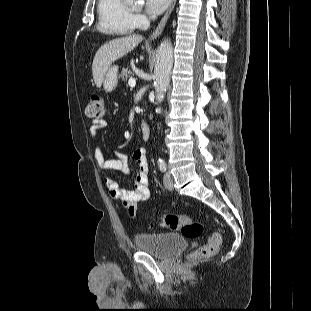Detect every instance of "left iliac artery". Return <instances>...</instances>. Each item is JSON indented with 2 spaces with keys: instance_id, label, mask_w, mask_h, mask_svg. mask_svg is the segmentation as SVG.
I'll return each mask as SVG.
<instances>
[{
  "instance_id": "obj_1",
  "label": "left iliac artery",
  "mask_w": 311,
  "mask_h": 311,
  "mask_svg": "<svg viewBox=\"0 0 311 311\" xmlns=\"http://www.w3.org/2000/svg\"><path fill=\"white\" fill-rule=\"evenodd\" d=\"M158 166L162 172L166 171V163L163 159L161 158L158 159Z\"/></svg>"
}]
</instances>
